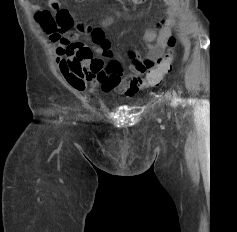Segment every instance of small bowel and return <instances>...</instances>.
<instances>
[{
	"mask_svg": "<svg viewBox=\"0 0 237 232\" xmlns=\"http://www.w3.org/2000/svg\"><path fill=\"white\" fill-rule=\"evenodd\" d=\"M162 1L167 5L165 17L143 38L147 54L142 57L137 52L130 53L132 63L126 75L111 52L109 40L97 29L90 44L71 39L57 47L56 64L66 81L79 91L89 88L93 94L102 91L131 97L142 90L146 86L143 75L161 58L179 9V0Z\"/></svg>",
	"mask_w": 237,
	"mask_h": 232,
	"instance_id": "1",
	"label": "small bowel"
}]
</instances>
